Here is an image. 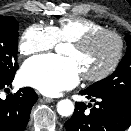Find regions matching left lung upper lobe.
<instances>
[{
	"mask_svg": "<svg viewBox=\"0 0 131 131\" xmlns=\"http://www.w3.org/2000/svg\"><path fill=\"white\" fill-rule=\"evenodd\" d=\"M127 51L115 72L85 90L93 95L115 97L131 103V36L125 37Z\"/></svg>",
	"mask_w": 131,
	"mask_h": 131,
	"instance_id": "1",
	"label": "left lung upper lobe"
}]
</instances>
